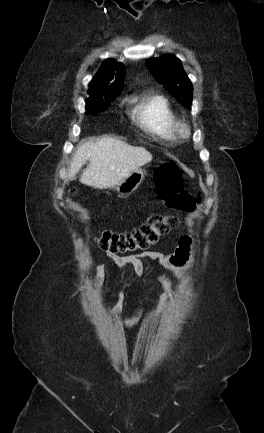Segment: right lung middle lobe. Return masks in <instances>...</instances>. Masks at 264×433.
<instances>
[{
	"label": "right lung middle lobe",
	"mask_w": 264,
	"mask_h": 433,
	"mask_svg": "<svg viewBox=\"0 0 264 433\" xmlns=\"http://www.w3.org/2000/svg\"><path fill=\"white\" fill-rule=\"evenodd\" d=\"M114 98H110V99H95V100H87V104H86V114H95V113H99L101 111H103L104 109H106L108 107V105L115 99Z\"/></svg>",
	"instance_id": "dd1d6c3e"
}]
</instances>
